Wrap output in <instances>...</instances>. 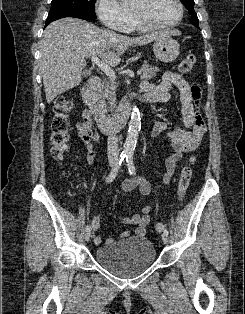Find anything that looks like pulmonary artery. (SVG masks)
<instances>
[{
	"label": "pulmonary artery",
	"mask_w": 245,
	"mask_h": 314,
	"mask_svg": "<svg viewBox=\"0 0 245 314\" xmlns=\"http://www.w3.org/2000/svg\"><path fill=\"white\" fill-rule=\"evenodd\" d=\"M122 32H128V31H126V29H125V30H122Z\"/></svg>",
	"instance_id": "1"
}]
</instances>
